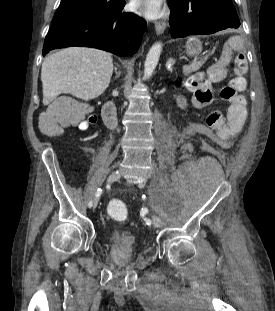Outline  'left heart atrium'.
Returning a JSON list of instances; mask_svg holds the SVG:
<instances>
[{"label":"left heart atrium","mask_w":275,"mask_h":311,"mask_svg":"<svg viewBox=\"0 0 275 311\" xmlns=\"http://www.w3.org/2000/svg\"><path fill=\"white\" fill-rule=\"evenodd\" d=\"M164 0H133V8L150 19H155L164 13Z\"/></svg>","instance_id":"left-heart-atrium-1"}]
</instances>
